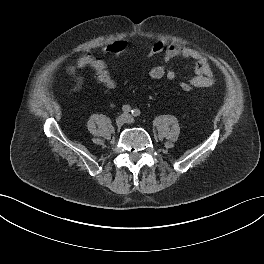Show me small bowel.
I'll return each mask as SVG.
<instances>
[{
    "instance_id": "c3829d8e",
    "label": "small bowel",
    "mask_w": 264,
    "mask_h": 264,
    "mask_svg": "<svg viewBox=\"0 0 264 264\" xmlns=\"http://www.w3.org/2000/svg\"><path fill=\"white\" fill-rule=\"evenodd\" d=\"M174 59L195 61V75L190 80L195 87H209L214 83V74L208 60L195 49L177 43H172L165 47L163 63L151 68L148 76L154 80L162 78L174 80L177 76L176 70L167 67V64ZM77 67L79 70L91 67L95 71L96 80L108 89H114L117 85L107 63L102 58L92 55L89 51H84L81 54L77 61Z\"/></svg>"
}]
</instances>
